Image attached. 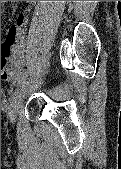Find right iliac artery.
<instances>
[{"mask_svg": "<svg viewBox=\"0 0 121 169\" xmlns=\"http://www.w3.org/2000/svg\"><path fill=\"white\" fill-rule=\"evenodd\" d=\"M27 78V74L26 73H23L17 80H18V83H21L23 81H25Z\"/></svg>", "mask_w": 121, "mask_h": 169, "instance_id": "1", "label": "right iliac artery"}]
</instances>
